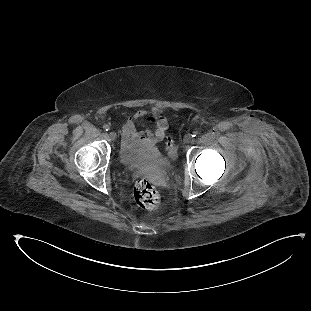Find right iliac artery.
<instances>
[{
	"mask_svg": "<svg viewBox=\"0 0 311 311\" xmlns=\"http://www.w3.org/2000/svg\"><path fill=\"white\" fill-rule=\"evenodd\" d=\"M103 128H104L105 131H109L110 130V127L108 125H104Z\"/></svg>",
	"mask_w": 311,
	"mask_h": 311,
	"instance_id": "right-iliac-artery-1",
	"label": "right iliac artery"
}]
</instances>
